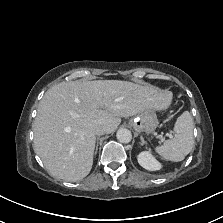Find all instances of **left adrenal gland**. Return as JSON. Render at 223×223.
Returning <instances> with one entry per match:
<instances>
[{
	"label": "left adrenal gland",
	"instance_id": "1",
	"mask_svg": "<svg viewBox=\"0 0 223 223\" xmlns=\"http://www.w3.org/2000/svg\"><path fill=\"white\" fill-rule=\"evenodd\" d=\"M140 139H141V145L146 144V141L144 140L143 136H140Z\"/></svg>",
	"mask_w": 223,
	"mask_h": 223
}]
</instances>
